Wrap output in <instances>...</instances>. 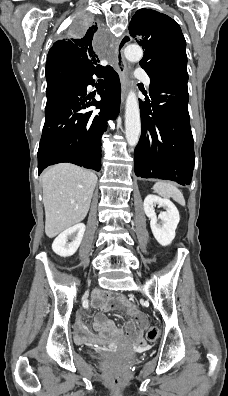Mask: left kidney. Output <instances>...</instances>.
<instances>
[{
  "label": "left kidney",
  "mask_w": 228,
  "mask_h": 396,
  "mask_svg": "<svg viewBox=\"0 0 228 396\" xmlns=\"http://www.w3.org/2000/svg\"><path fill=\"white\" fill-rule=\"evenodd\" d=\"M156 205L165 209L158 215V218L154 209ZM143 206L146 216L150 219L151 230L157 242L162 246L171 244L180 221L176 206L170 200L155 195H148L144 199Z\"/></svg>",
  "instance_id": "left-kidney-1"
}]
</instances>
